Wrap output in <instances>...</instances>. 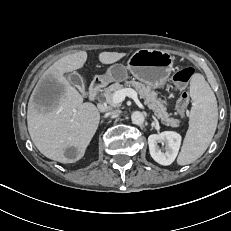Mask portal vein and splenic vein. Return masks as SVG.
<instances>
[{"mask_svg": "<svg viewBox=\"0 0 231 231\" xmlns=\"http://www.w3.org/2000/svg\"><path fill=\"white\" fill-rule=\"evenodd\" d=\"M126 96L129 98H132L135 101L138 100V94L134 89L124 88V89L116 91L113 94L112 102L115 104L121 103L125 100Z\"/></svg>", "mask_w": 231, "mask_h": 231, "instance_id": "obj_1", "label": "portal vein and splenic vein"}]
</instances>
